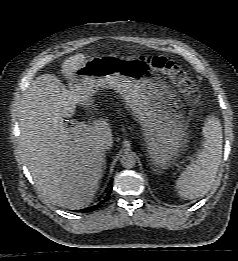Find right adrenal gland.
<instances>
[{"label": "right adrenal gland", "mask_w": 238, "mask_h": 261, "mask_svg": "<svg viewBox=\"0 0 238 261\" xmlns=\"http://www.w3.org/2000/svg\"><path fill=\"white\" fill-rule=\"evenodd\" d=\"M106 168V163H104V169Z\"/></svg>", "instance_id": "obj_1"}]
</instances>
